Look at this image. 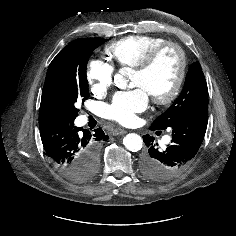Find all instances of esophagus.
I'll use <instances>...</instances> for the list:
<instances>
[{
    "label": "esophagus",
    "instance_id": "esophagus-1",
    "mask_svg": "<svg viewBox=\"0 0 236 236\" xmlns=\"http://www.w3.org/2000/svg\"><path fill=\"white\" fill-rule=\"evenodd\" d=\"M127 131L122 129V128H116L114 131H113V135H123L125 134Z\"/></svg>",
    "mask_w": 236,
    "mask_h": 236
}]
</instances>
